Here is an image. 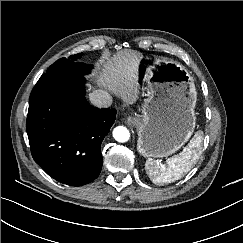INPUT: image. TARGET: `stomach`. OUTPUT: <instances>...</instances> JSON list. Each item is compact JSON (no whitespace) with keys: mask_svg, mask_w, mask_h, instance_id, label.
<instances>
[{"mask_svg":"<svg viewBox=\"0 0 243 243\" xmlns=\"http://www.w3.org/2000/svg\"><path fill=\"white\" fill-rule=\"evenodd\" d=\"M137 66L148 83L142 117L134 121L137 150L144 157H167L179 150L195 129L194 81L184 66L161 57L141 56Z\"/></svg>","mask_w":243,"mask_h":243,"instance_id":"obj_1","label":"stomach"}]
</instances>
